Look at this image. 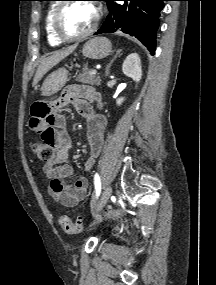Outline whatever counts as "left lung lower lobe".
<instances>
[{"instance_id": "1", "label": "left lung lower lobe", "mask_w": 216, "mask_h": 285, "mask_svg": "<svg viewBox=\"0 0 216 285\" xmlns=\"http://www.w3.org/2000/svg\"><path fill=\"white\" fill-rule=\"evenodd\" d=\"M115 1H123L117 4ZM166 0H108L110 14L95 33L124 32L135 36L154 54L160 11Z\"/></svg>"}]
</instances>
